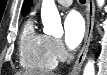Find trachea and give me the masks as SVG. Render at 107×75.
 <instances>
[{
  "instance_id": "1",
  "label": "trachea",
  "mask_w": 107,
  "mask_h": 75,
  "mask_svg": "<svg viewBox=\"0 0 107 75\" xmlns=\"http://www.w3.org/2000/svg\"><path fill=\"white\" fill-rule=\"evenodd\" d=\"M80 2H81L82 4H84V3H85V0H80Z\"/></svg>"
}]
</instances>
